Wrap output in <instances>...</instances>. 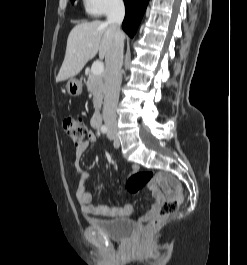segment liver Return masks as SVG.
<instances>
[{
	"label": "liver",
	"instance_id": "liver-1",
	"mask_svg": "<svg viewBox=\"0 0 247 265\" xmlns=\"http://www.w3.org/2000/svg\"><path fill=\"white\" fill-rule=\"evenodd\" d=\"M114 27L108 22L92 21L77 24L70 32L64 61L56 81H64L80 73L86 63L99 52L106 57L114 40Z\"/></svg>",
	"mask_w": 247,
	"mask_h": 265
}]
</instances>
